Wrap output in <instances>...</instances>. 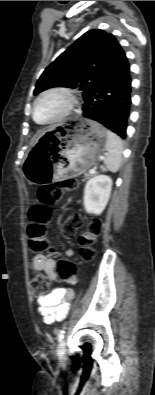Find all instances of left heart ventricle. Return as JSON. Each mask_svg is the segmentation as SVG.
I'll return each mask as SVG.
<instances>
[{
    "instance_id": "1",
    "label": "left heart ventricle",
    "mask_w": 155,
    "mask_h": 395,
    "mask_svg": "<svg viewBox=\"0 0 155 395\" xmlns=\"http://www.w3.org/2000/svg\"><path fill=\"white\" fill-rule=\"evenodd\" d=\"M63 104L64 102L60 97L50 96L44 98L42 101H40L36 108V119L40 122L51 119L60 112Z\"/></svg>"
}]
</instances>
